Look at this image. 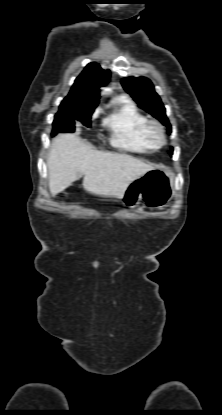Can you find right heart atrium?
Returning a JSON list of instances; mask_svg holds the SVG:
<instances>
[{"label":"right heart atrium","instance_id":"d8ad5b80","mask_svg":"<svg viewBox=\"0 0 222 415\" xmlns=\"http://www.w3.org/2000/svg\"><path fill=\"white\" fill-rule=\"evenodd\" d=\"M98 112H95L92 117L95 118L97 116Z\"/></svg>","mask_w":222,"mask_h":415}]
</instances>
